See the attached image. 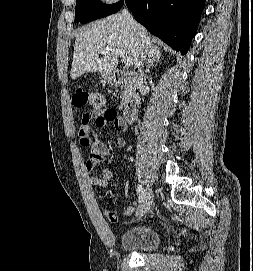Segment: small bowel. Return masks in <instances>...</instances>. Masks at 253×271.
I'll return each mask as SVG.
<instances>
[{
  "label": "small bowel",
  "instance_id": "1",
  "mask_svg": "<svg viewBox=\"0 0 253 271\" xmlns=\"http://www.w3.org/2000/svg\"><path fill=\"white\" fill-rule=\"evenodd\" d=\"M94 120L95 124L99 128H103L108 122L103 114L85 113L81 117V123L78 130V138L83 146L90 147V154L84 160V167L88 174H92L96 167L102 164L106 157L110 155V149L107 144L92 135L91 121ZM115 128L121 132L127 131V126L117 121L112 122ZM115 145L119 148H124L127 145L126 139L118 137L115 139ZM112 177V173L108 169H102L99 174L91 178V184L97 188H104L107 186L109 180ZM134 212V206L129 205L124 208L123 215L130 216ZM107 217L110 221L115 222L118 220L119 215L114 211H107Z\"/></svg>",
  "mask_w": 253,
  "mask_h": 271
}]
</instances>
